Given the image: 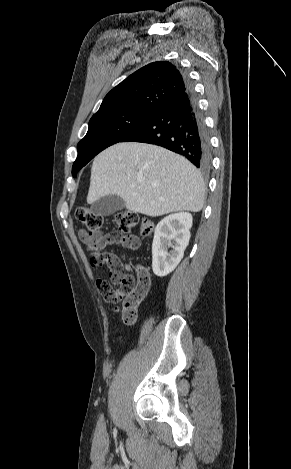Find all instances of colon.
<instances>
[{"instance_id":"obj_1","label":"colon","mask_w":291,"mask_h":469,"mask_svg":"<svg viewBox=\"0 0 291 469\" xmlns=\"http://www.w3.org/2000/svg\"><path fill=\"white\" fill-rule=\"evenodd\" d=\"M77 219L85 226V233L89 241L96 247L103 248L107 244L117 243L128 245L132 243L130 231L140 225L143 236H149L153 230L150 219L141 217L133 211H123L116 215L118 230L106 233L103 231V217L93 210L80 207L76 210ZM93 266L107 264L111 281L117 285L113 288L107 281L97 285L104 298L113 303H121L120 312L125 324L131 325L136 321L137 310L146 295L144 287L138 286L139 278H146L143 268L136 270V276L126 272L120 261H107L102 256L92 257Z\"/></svg>"}]
</instances>
